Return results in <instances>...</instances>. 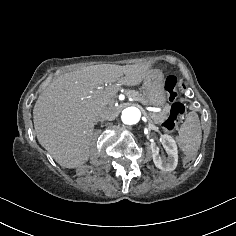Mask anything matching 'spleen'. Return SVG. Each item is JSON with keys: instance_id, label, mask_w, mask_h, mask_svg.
Here are the masks:
<instances>
[{"instance_id": "spleen-1", "label": "spleen", "mask_w": 236, "mask_h": 236, "mask_svg": "<svg viewBox=\"0 0 236 236\" xmlns=\"http://www.w3.org/2000/svg\"><path fill=\"white\" fill-rule=\"evenodd\" d=\"M201 126L196 112L187 115L185 122L181 125L176 142L185 155L194 156L201 144Z\"/></svg>"}]
</instances>
